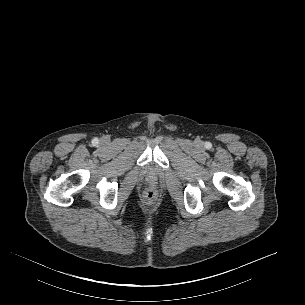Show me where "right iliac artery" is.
Listing matches in <instances>:
<instances>
[{
  "mask_svg": "<svg viewBox=\"0 0 305 305\" xmlns=\"http://www.w3.org/2000/svg\"><path fill=\"white\" fill-rule=\"evenodd\" d=\"M97 143H98V139H94L93 144H97Z\"/></svg>",
  "mask_w": 305,
  "mask_h": 305,
  "instance_id": "right-iliac-artery-1",
  "label": "right iliac artery"
}]
</instances>
